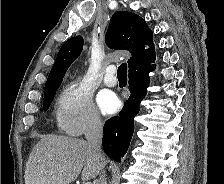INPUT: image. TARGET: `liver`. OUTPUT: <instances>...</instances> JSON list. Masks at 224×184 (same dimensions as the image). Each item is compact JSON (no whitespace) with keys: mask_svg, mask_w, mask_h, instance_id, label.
<instances>
[{"mask_svg":"<svg viewBox=\"0 0 224 184\" xmlns=\"http://www.w3.org/2000/svg\"><path fill=\"white\" fill-rule=\"evenodd\" d=\"M106 164L83 139L46 135L26 163L25 184H70L95 179Z\"/></svg>","mask_w":224,"mask_h":184,"instance_id":"6515ba94","label":"liver"}]
</instances>
